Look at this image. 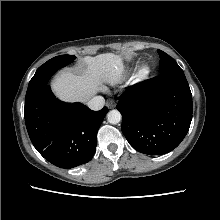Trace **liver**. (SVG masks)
<instances>
[{
    "mask_svg": "<svg viewBox=\"0 0 220 220\" xmlns=\"http://www.w3.org/2000/svg\"><path fill=\"white\" fill-rule=\"evenodd\" d=\"M87 69L81 75L63 71L52 82L55 95L65 102L86 103L102 87L103 83H121L125 73L122 57L113 53L84 57Z\"/></svg>",
    "mask_w": 220,
    "mask_h": 220,
    "instance_id": "6515ba94",
    "label": "liver"
}]
</instances>
